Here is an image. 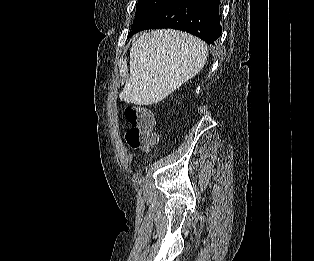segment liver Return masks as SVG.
Listing matches in <instances>:
<instances>
[{
  "label": "liver",
  "instance_id": "obj_1",
  "mask_svg": "<svg viewBox=\"0 0 314 261\" xmlns=\"http://www.w3.org/2000/svg\"><path fill=\"white\" fill-rule=\"evenodd\" d=\"M207 45L172 29L144 33L130 50V77L119 94L136 105L158 103L196 76L206 63Z\"/></svg>",
  "mask_w": 314,
  "mask_h": 261
}]
</instances>
